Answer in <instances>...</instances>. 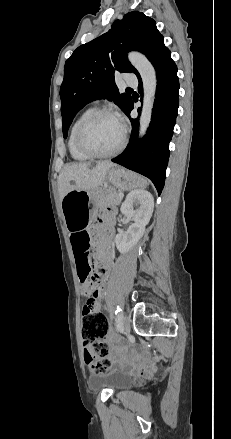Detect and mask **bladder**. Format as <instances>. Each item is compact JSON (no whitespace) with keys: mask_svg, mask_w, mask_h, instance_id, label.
<instances>
[{"mask_svg":"<svg viewBox=\"0 0 231 439\" xmlns=\"http://www.w3.org/2000/svg\"><path fill=\"white\" fill-rule=\"evenodd\" d=\"M134 378L125 373L108 371L97 373L91 376V384L94 387H106L112 391H119L134 385Z\"/></svg>","mask_w":231,"mask_h":439,"instance_id":"bladder-1","label":"bladder"}]
</instances>
